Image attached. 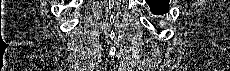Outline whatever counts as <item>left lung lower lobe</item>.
Listing matches in <instances>:
<instances>
[{
    "instance_id": "left-lung-lower-lobe-1",
    "label": "left lung lower lobe",
    "mask_w": 230,
    "mask_h": 71,
    "mask_svg": "<svg viewBox=\"0 0 230 71\" xmlns=\"http://www.w3.org/2000/svg\"><path fill=\"white\" fill-rule=\"evenodd\" d=\"M155 15L165 14L169 10V0H146Z\"/></svg>"
}]
</instances>
